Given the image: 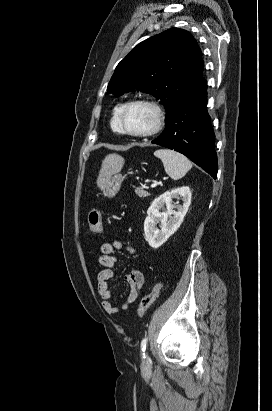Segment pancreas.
I'll use <instances>...</instances> for the list:
<instances>
[{"label": "pancreas", "mask_w": 272, "mask_h": 411, "mask_svg": "<svg viewBox=\"0 0 272 411\" xmlns=\"http://www.w3.org/2000/svg\"><path fill=\"white\" fill-rule=\"evenodd\" d=\"M135 193H136L139 197H148V196H150V193H149V192H147V191H145V190H142V189L136 190Z\"/></svg>", "instance_id": "obj_1"}]
</instances>
